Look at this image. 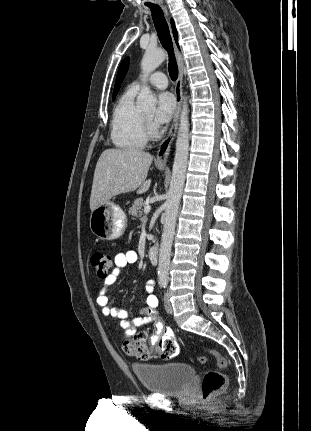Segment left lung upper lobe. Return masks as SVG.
I'll list each match as a JSON object with an SVG mask.
<instances>
[{
  "label": "left lung upper lobe",
  "instance_id": "5c2ea615",
  "mask_svg": "<svg viewBox=\"0 0 311 431\" xmlns=\"http://www.w3.org/2000/svg\"><path fill=\"white\" fill-rule=\"evenodd\" d=\"M128 66H129V58H126L122 61V63L119 66V69H118L117 79H116L115 88H114V92H113V99H115V96L119 91L121 83L123 82V80L125 78V75H126L127 70H128Z\"/></svg>",
  "mask_w": 311,
  "mask_h": 431
}]
</instances>
